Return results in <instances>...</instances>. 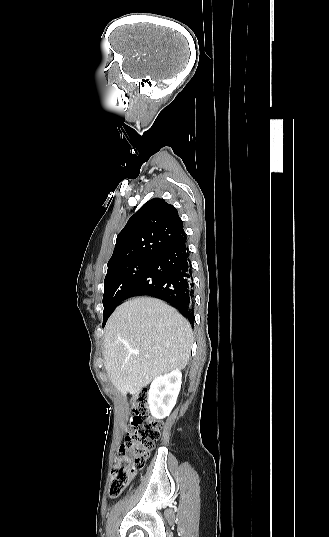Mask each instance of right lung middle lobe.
<instances>
[{"instance_id": "right-lung-middle-lobe-1", "label": "right lung middle lobe", "mask_w": 329, "mask_h": 537, "mask_svg": "<svg viewBox=\"0 0 329 537\" xmlns=\"http://www.w3.org/2000/svg\"><path fill=\"white\" fill-rule=\"evenodd\" d=\"M151 262L152 259L133 260L108 270L104 280L102 326H105L113 309L123 300L125 293Z\"/></svg>"}]
</instances>
